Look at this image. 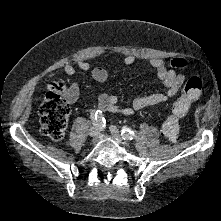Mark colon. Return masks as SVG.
Segmentation results:
<instances>
[{
	"label": "colon",
	"mask_w": 221,
	"mask_h": 221,
	"mask_svg": "<svg viewBox=\"0 0 221 221\" xmlns=\"http://www.w3.org/2000/svg\"><path fill=\"white\" fill-rule=\"evenodd\" d=\"M168 64L172 68H185L188 62L183 58H175ZM203 87L204 83L200 77H192L186 82L182 96L175 101L171 113L162 124V134L168 141H178L180 120L186 114L190 103L199 97ZM67 96L68 89L65 83H54L40 106V130L52 140H59L65 134L70 112Z\"/></svg>",
	"instance_id": "1"
}]
</instances>
